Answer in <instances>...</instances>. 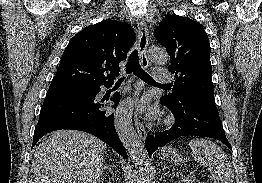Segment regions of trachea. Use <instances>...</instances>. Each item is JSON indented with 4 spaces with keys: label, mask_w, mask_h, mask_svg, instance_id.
Instances as JSON below:
<instances>
[{
    "label": "trachea",
    "mask_w": 262,
    "mask_h": 183,
    "mask_svg": "<svg viewBox=\"0 0 262 183\" xmlns=\"http://www.w3.org/2000/svg\"><path fill=\"white\" fill-rule=\"evenodd\" d=\"M134 73L138 78L143 80L144 82L151 84V85H161V86H168L165 84H159L157 83L149 74H147L140 66L139 64V57H138V51L135 49L131 52L129 56L128 63L126 65V74ZM125 79L124 77H121L118 79L117 82H122Z\"/></svg>",
    "instance_id": "1"
}]
</instances>
